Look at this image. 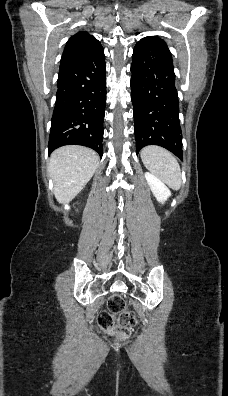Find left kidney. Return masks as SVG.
I'll use <instances>...</instances> for the list:
<instances>
[{
	"label": "left kidney",
	"mask_w": 228,
	"mask_h": 396,
	"mask_svg": "<svg viewBox=\"0 0 228 396\" xmlns=\"http://www.w3.org/2000/svg\"><path fill=\"white\" fill-rule=\"evenodd\" d=\"M145 178L147 180L148 185L150 186L153 195L156 197V199L159 202L164 203L171 196L170 190L156 176H154L149 172H146Z\"/></svg>",
	"instance_id": "obj_1"
}]
</instances>
